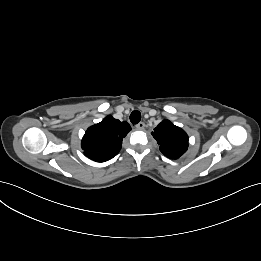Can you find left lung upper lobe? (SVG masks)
<instances>
[{
    "instance_id": "left-lung-upper-lobe-1",
    "label": "left lung upper lobe",
    "mask_w": 261,
    "mask_h": 261,
    "mask_svg": "<svg viewBox=\"0 0 261 261\" xmlns=\"http://www.w3.org/2000/svg\"><path fill=\"white\" fill-rule=\"evenodd\" d=\"M160 146V151L170 159L183 155L188 147V135L178 126L165 119L152 132Z\"/></svg>"
}]
</instances>
